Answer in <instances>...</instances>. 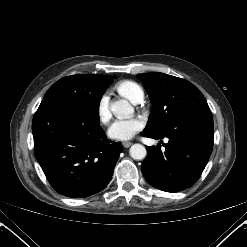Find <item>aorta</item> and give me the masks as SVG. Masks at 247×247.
<instances>
[{
  "mask_svg": "<svg viewBox=\"0 0 247 247\" xmlns=\"http://www.w3.org/2000/svg\"><path fill=\"white\" fill-rule=\"evenodd\" d=\"M112 113L118 118H129L134 109L126 100H118L111 104ZM146 148L141 144H134L130 148V156L135 160H142L146 157Z\"/></svg>",
  "mask_w": 247,
  "mask_h": 247,
  "instance_id": "obj_1",
  "label": "aorta"
}]
</instances>
